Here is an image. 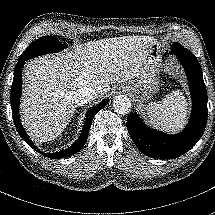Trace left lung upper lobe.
<instances>
[{"label": "left lung upper lobe", "mask_w": 215, "mask_h": 215, "mask_svg": "<svg viewBox=\"0 0 215 215\" xmlns=\"http://www.w3.org/2000/svg\"><path fill=\"white\" fill-rule=\"evenodd\" d=\"M180 46H182V45H180L179 43H174V44L172 45V50L175 49V48H179ZM182 47H183V46H182Z\"/></svg>", "instance_id": "left-lung-upper-lobe-1"}]
</instances>
